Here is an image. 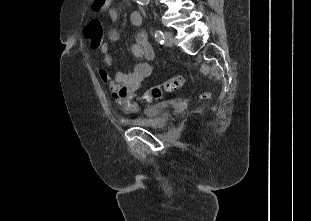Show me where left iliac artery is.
I'll use <instances>...</instances> for the list:
<instances>
[{"label": "left iliac artery", "instance_id": "obj_1", "mask_svg": "<svg viewBox=\"0 0 311 221\" xmlns=\"http://www.w3.org/2000/svg\"><path fill=\"white\" fill-rule=\"evenodd\" d=\"M155 39L160 44L164 43V34L161 30H159V29L155 30Z\"/></svg>", "mask_w": 311, "mask_h": 221}]
</instances>
